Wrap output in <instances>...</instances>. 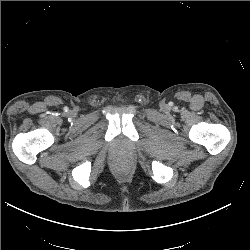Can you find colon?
Masks as SVG:
<instances>
[{"label":"colon","instance_id":"5ec220e1","mask_svg":"<svg viewBox=\"0 0 250 250\" xmlns=\"http://www.w3.org/2000/svg\"><path fill=\"white\" fill-rule=\"evenodd\" d=\"M117 171H118V172H122L123 170H122V169H118Z\"/></svg>","mask_w":250,"mask_h":250}]
</instances>
